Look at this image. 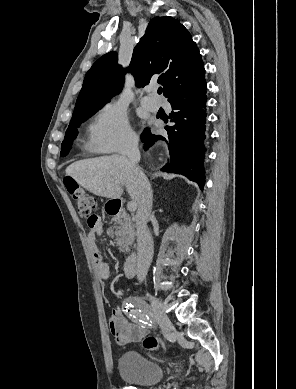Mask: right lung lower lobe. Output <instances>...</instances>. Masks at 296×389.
Instances as JSON below:
<instances>
[{"label":"right lung lower lobe","instance_id":"right-lung-lower-lobe-1","mask_svg":"<svg viewBox=\"0 0 296 389\" xmlns=\"http://www.w3.org/2000/svg\"><path fill=\"white\" fill-rule=\"evenodd\" d=\"M206 90L205 84L195 91L180 92L171 98L169 102L175 110L170 114L171 122L175 125L166 127L168 137L153 135L149 129L141 135L145 150L157 140L168 144L170 160L162 171L182 174L197 182L201 189L205 183Z\"/></svg>","mask_w":296,"mask_h":389}]
</instances>
